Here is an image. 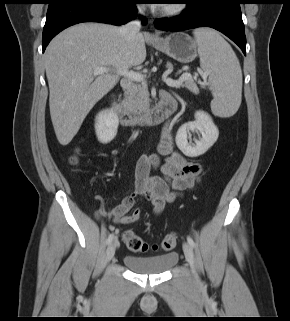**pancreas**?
Here are the masks:
<instances>
[{
    "label": "pancreas",
    "mask_w": 290,
    "mask_h": 321,
    "mask_svg": "<svg viewBox=\"0 0 290 321\" xmlns=\"http://www.w3.org/2000/svg\"><path fill=\"white\" fill-rule=\"evenodd\" d=\"M180 86L187 88L194 94L199 93V89L192 78L184 80ZM122 105L135 114L148 110L150 107L148 87L145 84H131L124 93Z\"/></svg>",
    "instance_id": "pancreas-1"
}]
</instances>
